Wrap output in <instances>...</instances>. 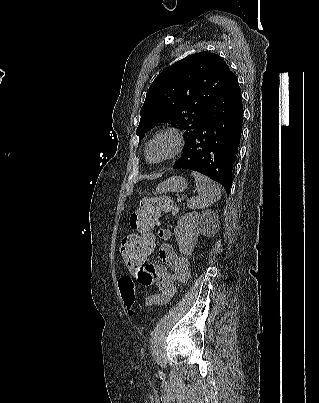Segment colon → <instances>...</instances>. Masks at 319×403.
Segmentation results:
<instances>
[{
    "label": "colon",
    "instance_id": "1",
    "mask_svg": "<svg viewBox=\"0 0 319 403\" xmlns=\"http://www.w3.org/2000/svg\"><path fill=\"white\" fill-rule=\"evenodd\" d=\"M172 201L161 196L146 197L140 206L132 213L129 219L133 229V238H125L120 245L121 260L124 270L132 273V276H120L118 287L123 294L122 302L127 307L128 315L132 317L134 323H139L141 314L136 308L138 277L145 267L152 263V247H155V230L157 229V218L162 211H171ZM141 265V268H138Z\"/></svg>",
    "mask_w": 319,
    "mask_h": 403
}]
</instances>
